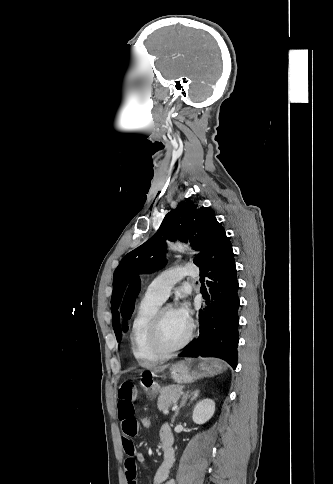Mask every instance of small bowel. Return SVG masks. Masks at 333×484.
<instances>
[{
    "instance_id": "1",
    "label": "small bowel",
    "mask_w": 333,
    "mask_h": 484,
    "mask_svg": "<svg viewBox=\"0 0 333 484\" xmlns=\"http://www.w3.org/2000/svg\"><path fill=\"white\" fill-rule=\"evenodd\" d=\"M136 398V385L131 381L123 382L118 389L117 415L121 423V440L126 454L124 467L127 484H137L136 464L146 462L145 456L136 450L133 442L140 429L134 406ZM159 437L163 444L170 443V450L169 456L164 455V461L155 473L154 484H176L173 479L169 478V471L174 461L173 434L169 425L165 424L160 428Z\"/></svg>"
}]
</instances>
